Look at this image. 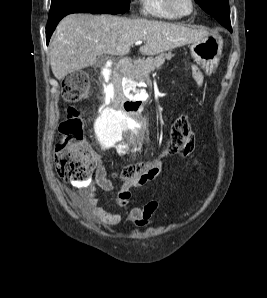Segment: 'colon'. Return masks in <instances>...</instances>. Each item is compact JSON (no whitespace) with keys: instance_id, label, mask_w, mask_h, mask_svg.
<instances>
[{"instance_id":"colon-1","label":"colon","mask_w":267,"mask_h":298,"mask_svg":"<svg viewBox=\"0 0 267 298\" xmlns=\"http://www.w3.org/2000/svg\"><path fill=\"white\" fill-rule=\"evenodd\" d=\"M89 79L84 72H73L63 80L62 94L69 103L82 100L88 92ZM61 142L54 153V168L58 176L66 181L82 182L87 180L96 167L94 155L81 147L83 121L78 111L69 107L66 118L60 125ZM195 134L187 117L176 118L169 131V140L162 156L178 152L184 157L193 154ZM156 161L130 164L123 168L119 177L125 182H133L153 174Z\"/></svg>"}]
</instances>
